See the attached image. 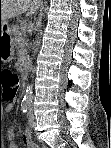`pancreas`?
I'll return each mask as SVG.
<instances>
[{
    "mask_svg": "<svg viewBox=\"0 0 111 148\" xmlns=\"http://www.w3.org/2000/svg\"><path fill=\"white\" fill-rule=\"evenodd\" d=\"M13 33L15 35V42L16 45H18V48L20 49L21 52H25V26L21 24L20 26L17 25L13 29Z\"/></svg>",
    "mask_w": 111,
    "mask_h": 148,
    "instance_id": "1",
    "label": "pancreas"
}]
</instances>
